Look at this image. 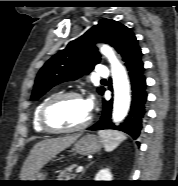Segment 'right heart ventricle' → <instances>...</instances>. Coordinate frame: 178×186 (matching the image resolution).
<instances>
[{"instance_id": "e07e8e85", "label": "right heart ventricle", "mask_w": 178, "mask_h": 186, "mask_svg": "<svg viewBox=\"0 0 178 186\" xmlns=\"http://www.w3.org/2000/svg\"><path fill=\"white\" fill-rule=\"evenodd\" d=\"M52 96H49L45 99H43L40 103H38V105L35 107L34 111H33V115H32V124H33V128L36 132L39 133H46V131L41 127L40 123H39V114H40V110L43 106V104Z\"/></svg>"}]
</instances>
